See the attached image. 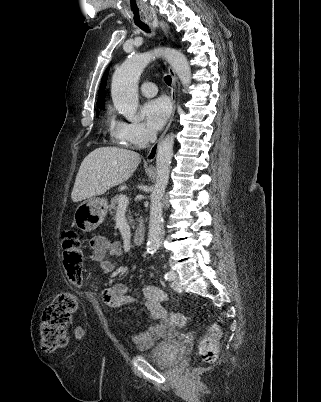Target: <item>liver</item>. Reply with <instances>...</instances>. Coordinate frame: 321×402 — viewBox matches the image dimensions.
I'll use <instances>...</instances> for the list:
<instances>
[{
    "instance_id": "obj_1",
    "label": "liver",
    "mask_w": 321,
    "mask_h": 402,
    "mask_svg": "<svg viewBox=\"0 0 321 402\" xmlns=\"http://www.w3.org/2000/svg\"><path fill=\"white\" fill-rule=\"evenodd\" d=\"M141 161L132 150L99 147L82 161L71 193L73 202L104 194L122 184L133 174Z\"/></svg>"
}]
</instances>
